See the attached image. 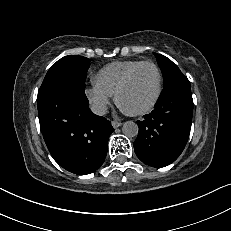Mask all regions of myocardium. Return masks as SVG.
Segmentation results:
<instances>
[{
    "mask_svg": "<svg viewBox=\"0 0 231 231\" xmlns=\"http://www.w3.org/2000/svg\"><path fill=\"white\" fill-rule=\"evenodd\" d=\"M144 66H150L152 67L157 75V89H156V93L152 99V101L145 106L144 108L137 110V111H127L124 110L123 107L120 105V96L121 94L124 92V90L129 86L133 76L135 75V73L142 67ZM162 90H163V76H162V72L160 67L152 62V61H142L140 62L138 65H136L135 67H133L128 74L125 76V78L123 79V81L120 83L119 87L117 88L116 92H115V102L116 104L126 113L130 114V115H134V116H139V115H144L148 112H150L158 103L161 94H162Z\"/></svg>",
    "mask_w": 231,
    "mask_h": 231,
    "instance_id": "myocardium-1",
    "label": "myocardium"
}]
</instances>
